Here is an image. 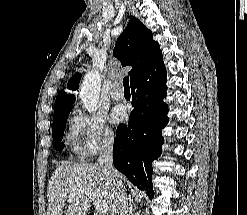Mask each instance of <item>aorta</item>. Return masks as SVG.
<instances>
[{
  "label": "aorta",
  "instance_id": "obj_1",
  "mask_svg": "<svg viewBox=\"0 0 247 215\" xmlns=\"http://www.w3.org/2000/svg\"><path fill=\"white\" fill-rule=\"evenodd\" d=\"M101 87L100 74L96 70L89 71L83 78L79 90V98L84 108L89 112H95L99 104Z\"/></svg>",
  "mask_w": 247,
  "mask_h": 215
}]
</instances>
